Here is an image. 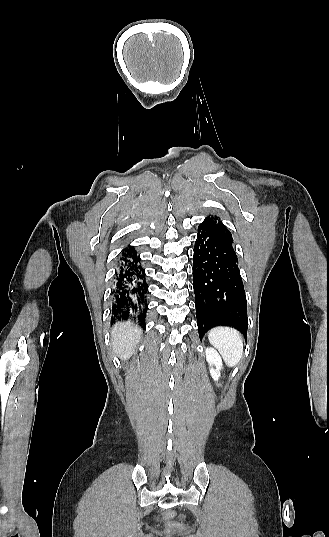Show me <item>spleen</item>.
I'll return each instance as SVG.
<instances>
[{"label":"spleen","instance_id":"1","mask_svg":"<svg viewBox=\"0 0 329 537\" xmlns=\"http://www.w3.org/2000/svg\"><path fill=\"white\" fill-rule=\"evenodd\" d=\"M208 339L228 366L234 367L239 363L243 356V341L237 330L230 327H215L209 331Z\"/></svg>","mask_w":329,"mask_h":537}]
</instances>
